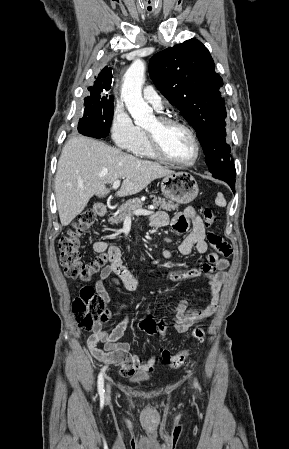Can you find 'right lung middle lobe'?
<instances>
[{"instance_id":"1","label":"right lung middle lobe","mask_w":289,"mask_h":449,"mask_svg":"<svg viewBox=\"0 0 289 449\" xmlns=\"http://www.w3.org/2000/svg\"><path fill=\"white\" fill-rule=\"evenodd\" d=\"M113 101V98H106L104 95L86 97L84 116L79 119L78 132L97 139L106 137L113 118Z\"/></svg>"}]
</instances>
